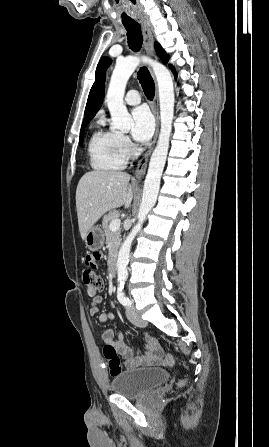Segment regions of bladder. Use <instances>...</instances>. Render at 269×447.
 Wrapping results in <instances>:
<instances>
[{
  "label": "bladder",
  "mask_w": 269,
  "mask_h": 447,
  "mask_svg": "<svg viewBox=\"0 0 269 447\" xmlns=\"http://www.w3.org/2000/svg\"><path fill=\"white\" fill-rule=\"evenodd\" d=\"M168 379L167 369L139 368L116 372L110 386L113 394L122 395L125 398H136L146 395Z\"/></svg>",
  "instance_id": "1"
}]
</instances>
